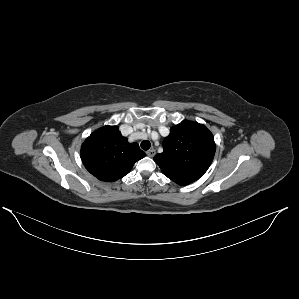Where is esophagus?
Segmentation results:
<instances>
[{
    "mask_svg": "<svg viewBox=\"0 0 299 299\" xmlns=\"http://www.w3.org/2000/svg\"><path fill=\"white\" fill-rule=\"evenodd\" d=\"M156 151L154 149H150L146 152V154L149 156V157H153L155 155Z\"/></svg>",
    "mask_w": 299,
    "mask_h": 299,
    "instance_id": "1",
    "label": "esophagus"
}]
</instances>
